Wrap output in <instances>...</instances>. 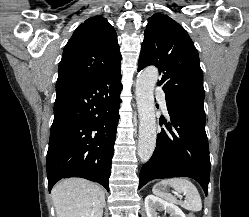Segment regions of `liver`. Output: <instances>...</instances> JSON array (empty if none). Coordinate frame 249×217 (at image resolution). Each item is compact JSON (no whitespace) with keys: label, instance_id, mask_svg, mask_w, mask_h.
<instances>
[{"label":"liver","instance_id":"1","mask_svg":"<svg viewBox=\"0 0 249 217\" xmlns=\"http://www.w3.org/2000/svg\"><path fill=\"white\" fill-rule=\"evenodd\" d=\"M56 217H102L105 193L97 185L80 178L60 181L51 192Z\"/></svg>","mask_w":249,"mask_h":217}]
</instances>
